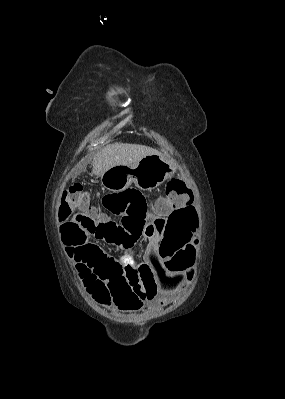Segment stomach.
Masks as SVG:
<instances>
[{
	"label": "stomach",
	"mask_w": 285,
	"mask_h": 399,
	"mask_svg": "<svg viewBox=\"0 0 285 399\" xmlns=\"http://www.w3.org/2000/svg\"><path fill=\"white\" fill-rule=\"evenodd\" d=\"M176 172L172 162L160 154H151L136 165H118L101 175V185L109 191L120 192L132 183L141 190L151 191Z\"/></svg>",
	"instance_id": "obj_1"
}]
</instances>
